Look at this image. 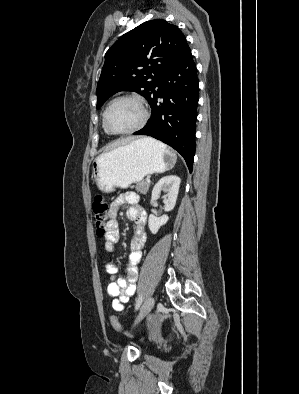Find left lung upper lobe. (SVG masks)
<instances>
[{
	"label": "left lung upper lobe",
	"instance_id": "1",
	"mask_svg": "<svg viewBox=\"0 0 299 394\" xmlns=\"http://www.w3.org/2000/svg\"><path fill=\"white\" fill-rule=\"evenodd\" d=\"M186 45L180 29L162 19L146 21L121 36L105 54L97 109L119 91L137 92L149 102L160 76Z\"/></svg>",
	"mask_w": 299,
	"mask_h": 394
}]
</instances>
